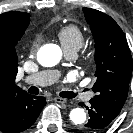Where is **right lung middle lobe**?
Masks as SVG:
<instances>
[{
  "label": "right lung middle lobe",
  "mask_w": 133,
  "mask_h": 133,
  "mask_svg": "<svg viewBox=\"0 0 133 133\" xmlns=\"http://www.w3.org/2000/svg\"><path fill=\"white\" fill-rule=\"evenodd\" d=\"M14 46L15 44L0 43V63H7L17 58Z\"/></svg>",
  "instance_id": "right-lung-middle-lobe-1"
}]
</instances>
